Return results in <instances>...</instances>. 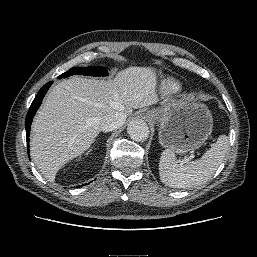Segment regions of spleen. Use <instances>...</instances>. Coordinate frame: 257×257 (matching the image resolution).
I'll return each instance as SVG.
<instances>
[{"instance_id":"obj_1","label":"spleen","mask_w":257,"mask_h":257,"mask_svg":"<svg viewBox=\"0 0 257 257\" xmlns=\"http://www.w3.org/2000/svg\"><path fill=\"white\" fill-rule=\"evenodd\" d=\"M229 147V138L221 135L199 160L178 164L175 153L165 149L160 157V180L175 188H192L209 180L222 163Z\"/></svg>"}]
</instances>
